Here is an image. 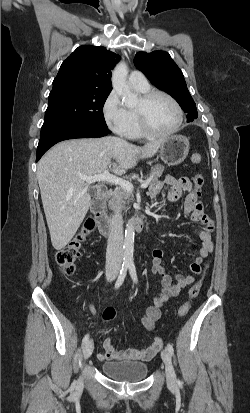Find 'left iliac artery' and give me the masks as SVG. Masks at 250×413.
I'll use <instances>...</instances> for the list:
<instances>
[{
  "mask_svg": "<svg viewBox=\"0 0 250 413\" xmlns=\"http://www.w3.org/2000/svg\"><path fill=\"white\" fill-rule=\"evenodd\" d=\"M129 272H130V275H131L133 281L137 283L138 278H137V274H136V268H135V265L133 263L129 264ZM167 350L169 351V353L171 355H173L174 349H173L171 344H167Z\"/></svg>",
  "mask_w": 250,
  "mask_h": 413,
  "instance_id": "44dca946",
  "label": "left iliac artery"
}]
</instances>
